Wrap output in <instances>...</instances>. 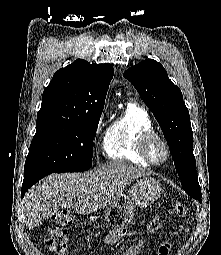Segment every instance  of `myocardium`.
I'll return each instance as SVG.
<instances>
[{"mask_svg":"<svg viewBox=\"0 0 221 255\" xmlns=\"http://www.w3.org/2000/svg\"><path fill=\"white\" fill-rule=\"evenodd\" d=\"M159 142L164 149L165 157L161 162H156L151 155V145L153 142ZM138 150L142 157L151 165L160 166L170 158V149L166 140L157 132L150 130L141 134L138 140Z\"/></svg>","mask_w":221,"mask_h":255,"instance_id":"f54148a6","label":"myocardium"}]
</instances>
